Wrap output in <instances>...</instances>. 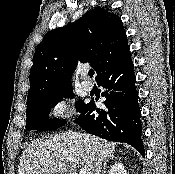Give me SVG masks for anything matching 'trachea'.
Masks as SVG:
<instances>
[{
    "mask_svg": "<svg viewBox=\"0 0 175 174\" xmlns=\"http://www.w3.org/2000/svg\"><path fill=\"white\" fill-rule=\"evenodd\" d=\"M88 75L91 76V77H93V75H94V70L91 69V70L88 72Z\"/></svg>",
    "mask_w": 175,
    "mask_h": 174,
    "instance_id": "trachea-1",
    "label": "trachea"
}]
</instances>
